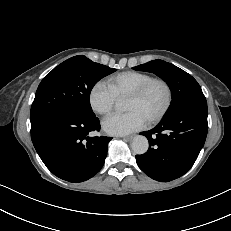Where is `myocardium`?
Instances as JSON below:
<instances>
[{
    "label": "myocardium",
    "mask_w": 231,
    "mask_h": 231,
    "mask_svg": "<svg viewBox=\"0 0 231 231\" xmlns=\"http://www.w3.org/2000/svg\"><path fill=\"white\" fill-rule=\"evenodd\" d=\"M155 84H160L164 87L165 92H166V99H165V103L162 109L156 115L148 119V122L150 124L159 123L167 115V113L169 112L172 106L173 90H172L170 83L164 78L152 77L147 82H145L143 85H141L138 89L134 90L127 96L128 98L141 99L148 93L151 87Z\"/></svg>",
    "instance_id": "myocardium-1"
}]
</instances>
